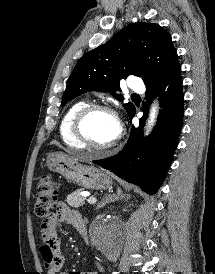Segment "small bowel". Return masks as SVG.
Listing matches in <instances>:
<instances>
[{
    "label": "small bowel",
    "mask_w": 215,
    "mask_h": 274,
    "mask_svg": "<svg viewBox=\"0 0 215 274\" xmlns=\"http://www.w3.org/2000/svg\"><path fill=\"white\" fill-rule=\"evenodd\" d=\"M59 222L73 226L78 232L86 228L82 216L71 210L65 203L58 205L56 213L46 218L40 227V253L47 269V274H67L61 272L64 265V256L61 251V240L57 232ZM77 274H97L96 272H78Z\"/></svg>",
    "instance_id": "obj_1"
}]
</instances>
